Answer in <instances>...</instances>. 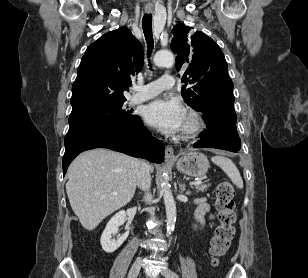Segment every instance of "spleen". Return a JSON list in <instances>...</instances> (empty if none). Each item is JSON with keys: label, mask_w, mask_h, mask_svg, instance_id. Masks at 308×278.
I'll return each mask as SVG.
<instances>
[{"label": "spleen", "mask_w": 308, "mask_h": 278, "mask_svg": "<svg viewBox=\"0 0 308 278\" xmlns=\"http://www.w3.org/2000/svg\"><path fill=\"white\" fill-rule=\"evenodd\" d=\"M212 162L219 166L226 175L231 179L232 183L239 189L243 188V180L239 170L231 159L217 155L211 158Z\"/></svg>", "instance_id": "obj_1"}]
</instances>
